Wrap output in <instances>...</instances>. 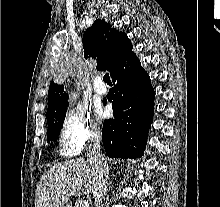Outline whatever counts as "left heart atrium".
Returning <instances> with one entry per match:
<instances>
[{
  "label": "left heart atrium",
  "mask_w": 220,
  "mask_h": 207,
  "mask_svg": "<svg viewBox=\"0 0 220 207\" xmlns=\"http://www.w3.org/2000/svg\"><path fill=\"white\" fill-rule=\"evenodd\" d=\"M99 119H103L107 116V113L103 110L98 111L97 113Z\"/></svg>",
  "instance_id": "1"
}]
</instances>
